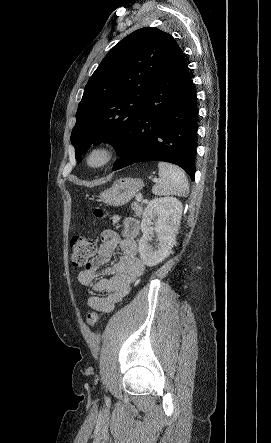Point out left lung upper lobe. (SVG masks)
Segmentation results:
<instances>
[{
	"mask_svg": "<svg viewBox=\"0 0 271 443\" xmlns=\"http://www.w3.org/2000/svg\"><path fill=\"white\" fill-rule=\"evenodd\" d=\"M179 48L173 37L145 27L129 34L102 60L85 86L71 133L79 161L91 144L110 142L120 155L145 109L147 89Z\"/></svg>",
	"mask_w": 271,
	"mask_h": 443,
	"instance_id": "5c2ea615",
	"label": "left lung upper lobe"
}]
</instances>
